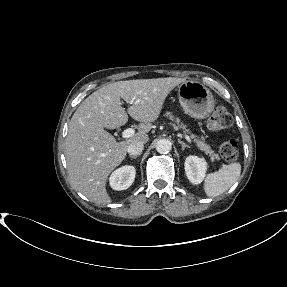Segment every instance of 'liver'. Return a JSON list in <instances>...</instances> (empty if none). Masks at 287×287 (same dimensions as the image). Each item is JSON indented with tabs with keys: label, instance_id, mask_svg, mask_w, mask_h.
<instances>
[{
	"label": "liver",
	"instance_id": "6515ba94",
	"mask_svg": "<svg viewBox=\"0 0 287 287\" xmlns=\"http://www.w3.org/2000/svg\"><path fill=\"white\" fill-rule=\"evenodd\" d=\"M185 81L174 77L118 81L88 96L70 120L65 143L68 175L74 189L98 205L110 203L108 176L125 159L132 142L149 140L147 133L166 97ZM120 98L130 104L128 114L141 123L132 137L117 142L104 128L116 129L128 122Z\"/></svg>",
	"mask_w": 287,
	"mask_h": 287
}]
</instances>
